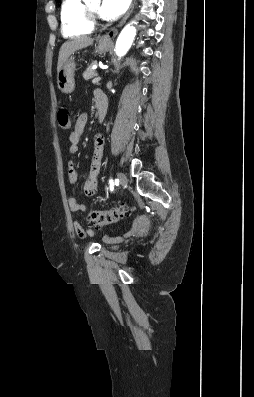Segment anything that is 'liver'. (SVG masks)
Returning <instances> with one entry per match:
<instances>
[{
	"mask_svg": "<svg viewBox=\"0 0 254 397\" xmlns=\"http://www.w3.org/2000/svg\"><path fill=\"white\" fill-rule=\"evenodd\" d=\"M94 39L82 36L74 38L70 41H66L60 48L57 71L62 67L63 63L69 58V56L79 49L88 47L93 43Z\"/></svg>",
	"mask_w": 254,
	"mask_h": 397,
	"instance_id": "obj_1",
	"label": "liver"
}]
</instances>
